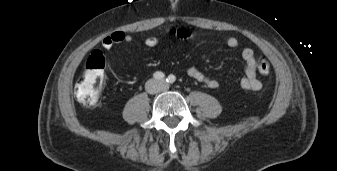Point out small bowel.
<instances>
[{
  "mask_svg": "<svg viewBox=\"0 0 337 171\" xmlns=\"http://www.w3.org/2000/svg\"><path fill=\"white\" fill-rule=\"evenodd\" d=\"M134 38L131 34L123 31H115L105 36L101 45L106 50H111L115 45L120 43H132ZM159 44V39L155 36H149L145 38L144 45L148 48H154ZM228 47L235 48L238 46L239 41L235 37H229L226 40ZM242 58L245 61L244 76L240 80V87L248 91H258L262 88V83L257 77V67L254 51L246 47L242 50ZM187 75L191 79H194L200 83L205 84L210 89H217L219 82L212 77L206 75L203 71L196 67H190L187 69Z\"/></svg>",
  "mask_w": 337,
  "mask_h": 171,
  "instance_id": "1",
  "label": "small bowel"
}]
</instances>
